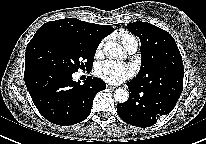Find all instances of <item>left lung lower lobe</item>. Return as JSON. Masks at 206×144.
Listing matches in <instances>:
<instances>
[{
    "label": "left lung lower lobe",
    "mask_w": 206,
    "mask_h": 144,
    "mask_svg": "<svg viewBox=\"0 0 206 144\" xmlns=\"http://www.w3.org/2000/svg\"><path fill=\"white\" fill-rule=\"evenodd\" d=\"M129 99L117 105L120 118L137 127H150L162 115L169 114L176 105L183 88V80L148 87L133 80L127 83Z\"/></svg>",
    "instance_id": "1"
}]
</instances>
